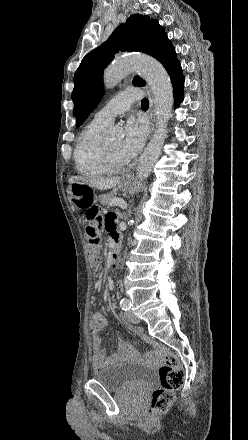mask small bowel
<instances>
[{"instance_id": "1", "label": "small bowel", "mask_w": 248, "mask_h": 440, "mask_svg": "<svg viewBox=\"0 0 248 440\" xmlns=\"http://www.w3.org/2000/svg\"><path fill=\"white\" fill-rule=\"evenodd\" d=\"M114 224V217L108 216L106 218V225L108 228H111ZM112 235H116L113 233ZM113 284L111 282L108 283V289H112ZM124 323L134 332L141 333V328L133 327L129 325L123 319ZM107 325V320L105 316L101 312H95L89 320V331L92 336V347H93V355H92V366L95 371H99L105 366L117 363L121 360L125 359H138L140 358L139 353L126 341L119 338L118 342V352L106 356L104 351L101 348V337L100 333ZM152 358V354L148 353L146 355V359Z\"/></svg>"}]
</instances>
